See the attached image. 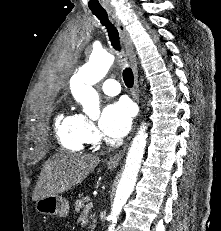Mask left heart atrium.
<instances>
[{"label": "left heart atrium", "instance_id": "left-heart-atrium-1", "mask_svg": "<svg viewBox=\"0 0 221 231\" xmlns=\"http://www.w3.org/2000/svg\"><path fill=\"white\" fill-rule=\"evenodd\" d=\"M132 118L131 104L125 100L115 101L104 108L99 120V128L111 138H121L130 130Z\"/></svg>", "mask_w": 221, "mask_h": 231}]
</instances>
